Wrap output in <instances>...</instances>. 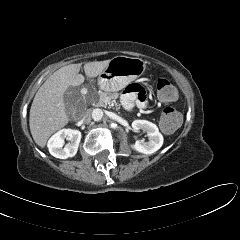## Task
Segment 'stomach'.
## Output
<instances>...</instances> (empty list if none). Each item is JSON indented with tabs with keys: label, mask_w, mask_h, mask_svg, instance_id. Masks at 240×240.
Wrapping results in <instances>:
<instances>
[{
	"label": "stomach",
	"mask_w": 240,
	"mask_h": 240,
	"mask_svg": "<svg viewBox=\"0 0 240 240\" xmlns=\"http://www.w3.org/2000/svg\"><path fill=\"white\" fill-rule=\"evenodd\" d=\"M146 69V62L141 58L116 56L99 74L98 85L104 91H119L139 78Z\"/></svg>",
	"instance_id": "1"
}]
</instances>
